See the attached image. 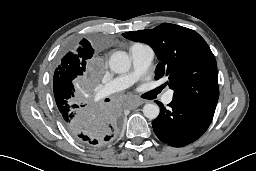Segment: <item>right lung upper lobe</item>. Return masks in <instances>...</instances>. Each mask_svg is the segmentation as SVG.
Segmentation results:
<instances>
[{"mask_svg":"<svg viewBox=\"0 0 256 171\" xmlns=\"http://www.w3.org/2000/svg\"><path fill=\"white\" fill-rule=\"evenodd\" d=\"M80 47L77 49V52L74 54L72 52L71 55L74 56L75 60L85 67L86 59L91 58L94 50L92 49L90 43L86 39H82L80 42ZM59 114L61 118L64 120L65 124H71L74 120V115H70L72 110V105L68 101L59 100L56 102Z\"/></svg>","mask_w":256,"mask_h":171,"instance_id":"1","label":"right lung upper lobe"}]
</instances>
